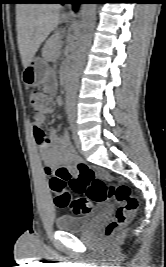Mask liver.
Here are the masks:
<instances>
[{
	"label": "liver",
	"instance_id": "obj_1",
	"mask_svg": "<svg viewBox=\"0 0 166 267\" xmlns=\"http://www.w3.org/2000/svg\"><path fill=\"white\" fill-rule=\"evenodd\" d=\"M60 5L19 3L16 5L17 42L23 67L34 58L40 45L59 23Z\"/></svg>",
	"mask_w": 166,
	"mask_h": 267
}]
</instances>
